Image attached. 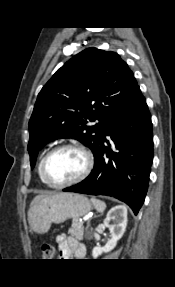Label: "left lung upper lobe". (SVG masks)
Instances as JSON below:
<instances>
[{"instance_id":"5c2ea615","label":"left lung upper lobe","mask_w":175,"mask_h":287,"mask_svg":"<svg viewBox=\"0 0 175 287\" xmlns=\"http://www.w3.org/2000/svg\"><path fill=\"white\" fill-rule=\"evenodd\" d=\"M137 88L117 53L88 48L75 55L38 95L29 121L31 167L38 152L59 138H75L95 155L111 120L130 104Z\"/></svg>"}]
</instances>
